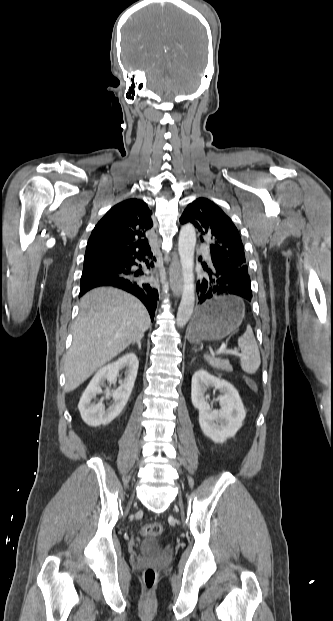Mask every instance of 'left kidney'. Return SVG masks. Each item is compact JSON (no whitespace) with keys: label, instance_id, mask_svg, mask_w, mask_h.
<instances>
[{"label":"left kidney","instance_id":"1","mask_svg":"<svg viewBox=\"0 0 333 621\" xmlns=\"http://www.w3.org/2000/svg\"><path fill=\"white\" fill-rule=\"evenodd\" d=\"M212 387L221 392L217 398L219 410L212 409L205 396L206 391ZM191 400L193 406L199 410L202 432L215 443H223L234 437L242 427L246 417L244 405L238 391L229 382L212 376L203 369L198 370L192 377Z\"/></svg>","mask_w":333,"mask_h":621}]
</instances>
